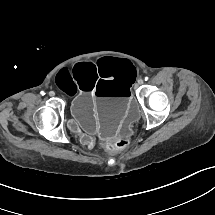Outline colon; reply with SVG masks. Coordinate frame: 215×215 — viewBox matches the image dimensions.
<instances>
[{"label":"colon","mask_w":215,"mask_h":215,"mask_svg":"<svg viewBox=\"0 0 215 215\" xmlns=\"http://www.w3.org/2000/svg\"><path fill=\"white\" fill-rule=\"evenodd\" d=\"M127 145V141L123 139H117L106 144H102V147H104L107 151L115 152L124 149Z\"/></svg>","instance_id":"obj_1"}]
</instances>
